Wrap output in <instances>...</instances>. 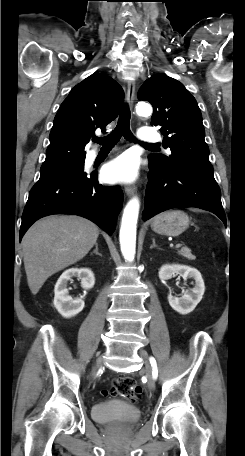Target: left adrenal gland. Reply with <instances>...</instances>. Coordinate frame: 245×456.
<instances>
[{"label":"left adrenal gland","instance_id":"obj_1","mask_svg":"<svg viewBox=\"0 0 245 456\" xmlns=\"http://www.w3.org/2000/svg\"><path fill=\"white\" fill-rule=\"evenodd\" d=\"M152 248L160 249V248L156 245L155 238H152V245L150 246V249H152Z\"/></svg>","mask_w":245,"mask_h":456}]
</instances>
